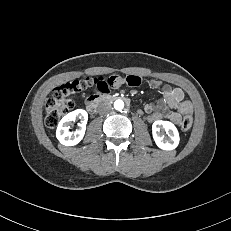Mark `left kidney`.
Wrapping results in <instances>:
<instances>
[{"instance_id": "obj_1", "label": "left kidney", "mask_w": 231, "mask_h": 231, "mask_svg": "<svg viewBox=\"0 0 231 231\" xmlns=\"http://www.w3.org/2000/svg\"><path fill=\"white\" fill-rule=\"evenodd\" d=\"M161 130H164L169 136V139H165L161 135ZM153 139L156 145L163 150H173L179 144V133L175 125L169 121L158 120L152 125Z\"/></svg>"}]
</instances>
